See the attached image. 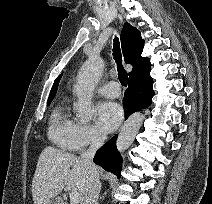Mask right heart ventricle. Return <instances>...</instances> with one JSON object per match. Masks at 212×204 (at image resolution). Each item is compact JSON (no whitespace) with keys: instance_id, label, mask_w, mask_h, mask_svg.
Instances as JSON below:
<instances>
[{"instance_id":"right-heart-ventricle-1","label":"right heart ventricle","mask_w":212,"mask_h":204,"mask_svg":"<svg viewBox=\"0 0 212 204\" xmlns=\"http://www.w3.org/2000/svg\"><path fill=\"white\" fill-rule=\"evenodd\" d=\"M78 123L65 104L57 105L50 116L48 137L59 148L74 150V134Z\"/></svg>"}]
</instances>
